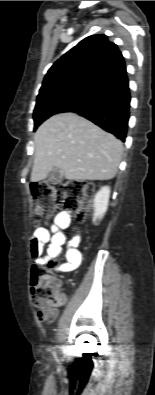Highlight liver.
<instances>
[{
    "label": "liver",
    "mask_w": 155,
    "mask_h": 395,
    "mask_svg": "<svg viewBox=\"0 0 155 395\" xmlns=\"http://www.w3.org/2000/svg\"><path fill=\"white\" fill-rule=\"evenodd\" d=\"M34 143L32 182L44 180L53 168L68 180H110L123 153L120 140L75 113L47 119L37 129Z\"/></svg>",
    "instance_id": "1"
}]
</instances>
